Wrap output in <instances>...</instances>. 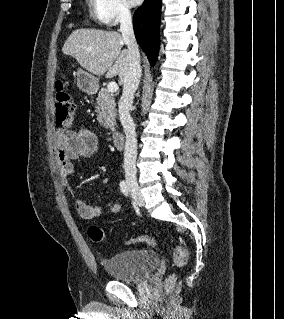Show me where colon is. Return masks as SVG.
<instances>
[{
	"label": "colon",
	"instance_id": "obj_1",
	"mask_svg": "<svg viewBox=\"0 0 284 319\" xmlns=\"http://www.w3.org/2000/svg\"><path fill=\"white\" fill-rule=\"evenodd\" d=\"M75 102L72 95L66 90L63 82L56 83L55 116L56 124L60 127L69 128L74 123ZM88 236L93 242H102L106 238L105 232L97 226L88 229ZM128 243H141L148 246H155L157 240L151 235H142L131 239ZM174 263L176 266H183L188 258L187 251L182 246H176L173 251ZM175 285V276L170 275L165 283V289L170 292Z\"/></svg>",
	"mask_w": 284,
	"mask_h": 319
}]
</instances>
